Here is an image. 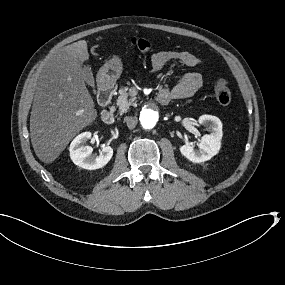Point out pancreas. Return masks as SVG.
<instances>
[{"instance_id": "1", "label": "pancreas", "mask_w": 285, "mask_h": 285, "mask_svg": "<svg viewBox=\"0 0 285 285\" xmlns=\"http://www.w3.org/2000/svg\"><path fill=\"white\" fill-rule=\"evenodd\" d=\"M134 101L135 98L128 99V93L123 92L117 99V105L119 106L120 113L127 112Z\"/></svg>"}]
</instances>
